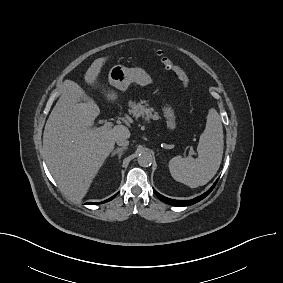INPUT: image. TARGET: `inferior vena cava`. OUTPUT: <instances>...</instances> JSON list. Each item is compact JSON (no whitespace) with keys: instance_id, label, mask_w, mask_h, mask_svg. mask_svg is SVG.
Wrapping results in <instances>:
<instances>
[{"instance_id":"1","label":"inferior vena cava","mask_w":283,"mask_h":283,"mask_svg":"<svg viewBox=\"0 0 283 283\" xmlns=\"http://www.w3.org/2000/svg\"><path fill=\"white\" fill-rule=\"evenodd\" d=\"M117 145L119 146H128L129 145V141L125 138H119L116 140Z\"/></svg>"}]
</instances>
